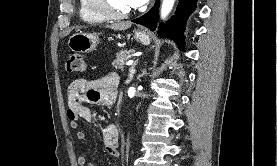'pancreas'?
<instances>
[{
  "label": "pancreas",
  "instance_id": "pancreas-1",
  "mask_svg": "<svg viewBox=\"0 0 277 166\" xmlns=\"http://www.w3.org/2000/svg\"><path fill=\"white\" fill-rule=\"evenodd\" d=\"M133 50H121L120 52H118L116 54L115 59L112 62V66L115 69H123V66L125 64V62L122 60L123 57H126L127 55H129L130 53H132Z\"/></svg>",
  "mask_w": 277,
  "mask_h": 166
}]
</instances>
